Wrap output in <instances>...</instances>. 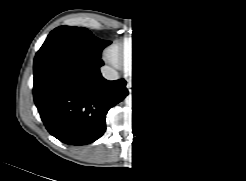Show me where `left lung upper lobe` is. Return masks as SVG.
I'll return each instance as SVG.
<instances>
[{"mask_svg":"<svg viewBox=\"0 0 246 181\" xmlns=\"http://www.w3.org/2000/svg\"><path fill=\"white\" fill-rule=\"evenodd\" d=\"M186 43L189 45L188 56L193 57L205 53H210V50L206 48L201 40L193 33H186L183 36Z\"/></svg>","mask_w":246,"mask_h":181,"instance_id":"1","label":"left lung upper lobe"}]
</instances>
